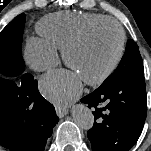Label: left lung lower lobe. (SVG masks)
Masks as SVG:
<instances>
[{
    "label": "left lung lower lobe",
    "mask_w": 151,
    "mask_h": 151,
    "mask_svg": "<svg viewBox=\"0 0 151 151\" xmlns=\"http://www.w3.org/2000/svg\"><path fill=\"white\" fill-rule=\"evenodd\" d=\"M93 108L87 132L93 151H128L141 135L147 114L144 70H134L81 99Z\"/></svg>",
    "instance_id": "left-lung-lower-lobe-1"
}]
</instances>
